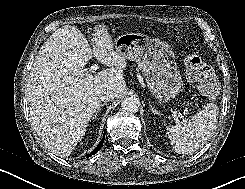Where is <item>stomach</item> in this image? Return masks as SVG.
<instances>
[{
	"mask_svg": "<svg viewBox=\"0 0 245 189\" xmlns=\"http://www.w3.org/2000/svg\"><path fill=\"white\" fill-rule=\"evenodd\" d=\"M113 48L138 64L155 98L168 101L181 92L182 77L168 43L142 33H125L114 40Z\"/></svg>",
	"mask_w": 245,
	"mask_h": 189,
	"instance_id": "stomach-1",
	"label": "stomach"
}]
</instances>
